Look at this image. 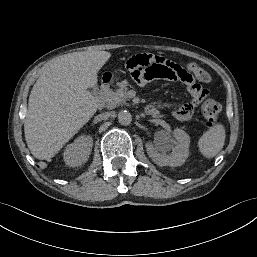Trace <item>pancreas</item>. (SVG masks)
<instances>
[{
    "label": "pancreas",
    "instance_id": "cf45deb5",
    "mask_svg": "<svg viewBox=\"0 0 257 257\" xmlns=\"http://www.w3.org/2000/svg\"><path fill=\"white\" fill-rule=\"evenodd\" d=\"M128 82L122 81L119 83V89L116 91L110 90L105 95L106 107L108 109H113L120 105L126 104L128 100L127 90Z\"/></svg>",
    "mask_w": 257,
    "mask_h": 257
}]
</instances>
